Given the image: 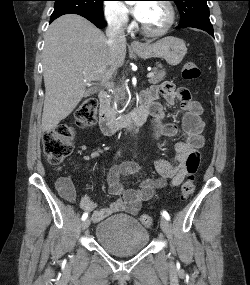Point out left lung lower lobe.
<instances>
[{"instance_id":"1","label":"left lung lower lobe","mask_w":250,"mask_h":285,"mask_svg":"<svg viewBox=\"0 0 250 285\" xmlns=\"http://www.w3.org/2000/svg\"><path fill=\"white\" fill-rule=\"evenodd\" d=\"M194 28H198V27H194ZM200 29H203V30L207 31L211 36L214 37L213 28L203 27V28H200Z\"/></svg>"}]
</instances>
